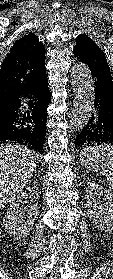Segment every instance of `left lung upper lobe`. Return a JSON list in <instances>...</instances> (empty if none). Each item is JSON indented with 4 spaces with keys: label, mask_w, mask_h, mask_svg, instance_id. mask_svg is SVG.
<instances>
[{
    "label": "left lung upper lobe",
    "mask_w": 113,
    "mask_h": 279,
    "mask_svg": "<svg viewBox=\"0 0 113 279\" xmlns=\"http://www.w3.org/2000/svg\"><path fill=\"white\" fill-rule=\"evenodd\" d=\"M73 53L82 63L112 77L104 52L87 35L81 34L77 37Z\"/></svg>",
    "instance_id": "1"
}]
</instances>
